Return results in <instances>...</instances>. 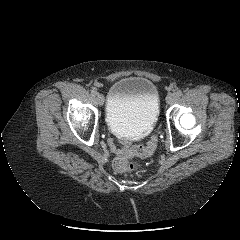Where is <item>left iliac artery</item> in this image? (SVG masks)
<instances>
[{"mask_svg":"<svg viewBox=\"0 0 240 240\" xmlns=\"http://www.w3.org/2000/svg\"><path fill=\"white\" fill-rule=\"evenodd\" d=\"M175 94H176V96H177V97H180V96H182V95H183V93H182V91H181V90H178V91H177Z\"/></svg>","mask_w":240,"mask_h":240,"instance_id":"1","label":"left iliac artery"}]
</instances>
